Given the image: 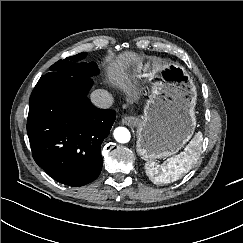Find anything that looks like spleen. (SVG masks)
I'll return each instance as SVG.
<instances>
[{
    "label": "spleen",
    "mask_w": 243,
    "mask_h": 243,
    "mask_svg": "<svg viewBox=\"0 0 243 243\" xmlns=\"http://www.w3.org/2000/svg\"><path fill=\"white\" fill-rule=\"evenodd\" d=\"M202 140V133L198 132L183 152L167 159L165 163L146 162L145 172L149 179L155 184H167L188 173L199 158Z\"/></svg>",
    "instance_id": "1"
}]
</instances>
